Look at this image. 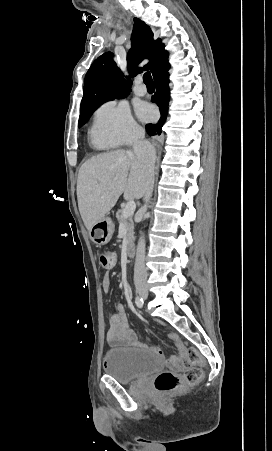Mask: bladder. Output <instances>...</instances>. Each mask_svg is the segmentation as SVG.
Segmentation results:
<instances>
[{
	"label": "bladder",
	"mask_w": 272,
	"mask_h": 451,
	"mask_svg": "<svg viewBox=\"0 0 272 451\" xmlns=\"http://www.w3.org/2000/svg\"><path fill=\"white\" fill-rule=\"evenodd\" d=\"M105 373L119 383H133L160 371L163 362L159 355L135 349L114 348L104 354Z\"/></svg>",
	"instance_id": "obj_1"
}]
</instances>
